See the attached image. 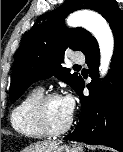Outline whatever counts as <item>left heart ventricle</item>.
I'll return each mask as SVG.
<instances>
[{"mask_svg": "<svg viewBox=\"0 0 123 152\" xmlns=\"http://www.w3.org/2000/svg\"><path fill=\"white\" fill-rule=\"evenodd\" d=\"M47 117L52 128L64 126L70 118L62 98L53 99L47 106Z\"/></svg>", "mask_w": 123, "mask_h": 152, "instance_id": "obj_1", "label": "left heart ventricle"}]
</instances>
